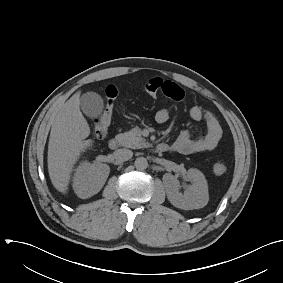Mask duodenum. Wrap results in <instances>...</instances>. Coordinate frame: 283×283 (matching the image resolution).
<instances>
[{
    "label": "duodenum",
    "mask_w": 283,
    "mask_h": 283,
    "mask_svg": "<svg viewBox=\"0 0 283 283\" xmlns=\"http://www.w3.org/2000/svg\"><path fill=\"white\" fill-rule=\"evenodd\" d=\"M121 146V141L119 138H112L109 141V148L112 150H116ZM168 149V145L165 143H160L157 145V151L159 152H165Z\"/></svg>",
    "instance_id": "duodenum-1"
}]
</instances>
